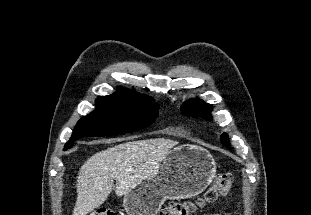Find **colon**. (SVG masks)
Here are the masks:
<instances>
[{"mask_svg": "<svg viewBox=\"0 0 311 215\" xmlns=\"http://www.w3.org/2000/svg\"><path fill=\"white\" fill-rule=\"evenodd\" d=\"M233 185V176L230 173H222L217 176L215 182L210 186L201 198L195 201H176L162 209L159 215H191L196 209L206 203L214 202L219 196L228 194ZM89 215H114L107 208H98Z\"/></svg>", "mask_w": 311, "mask_h": 215, "instance_id": "5ec220e1", "label": "colon"}]
</instances>
